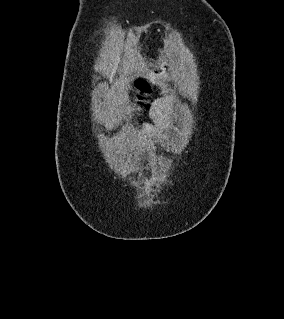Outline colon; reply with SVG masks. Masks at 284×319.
<instances>
[{"label": "colon", "mask_w": 284, "mask_h": 319, "mask_svg": "<svg viewBox=\"0 0 284 319\" xmlns=\"http://www.w3.org/2000/svg\"><path fill=\"white\" fill-rule=\"evenodd\" d=\"M136 88L138 90L136 105L146 108L148 106L147 96L151 92V84L146 79H139L136 82Z\"/></svg>", "instance_id": "obj_1"}]
</instances>
